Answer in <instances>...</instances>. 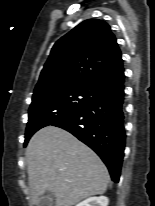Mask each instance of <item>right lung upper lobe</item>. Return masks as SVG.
<instances>
[{
    "instance_id": "obj_1",
    "label": "right lung upper lobe",
    "mask_w": 155,
    "mask_h": 206,
    "mask_svg": "<svg viewBox=\"0 0 155 206\" xmlns=\"http://www.w3.org/2000/svg\"><path fill=\"white\" fill-rule=\"evenodd\" d=\"M124 77L121 51L110 26L88 19L55 43L34 94L75 85L103 91Z\"/></svg>"
}]
</instances>
